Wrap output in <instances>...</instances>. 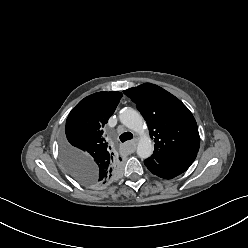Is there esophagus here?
<instances>
[{"label": "esophagus", "mask_w": 248, "mask_h": 248, "mask_svg": "<svg viewBox=\"0 0 248 248\" xmlns=\"http://www.w3.org/2000/svg\"><path fill=\"white\" fill-rule=\"evenodd\" d=\"M137 141H138V138H135V139H133L132 141H130V142L128 143V145H129V150H130V151H132V152L135 151L136 145H137Z\"/></svg>", "instance_id": "obj_1"}]
</instances>
